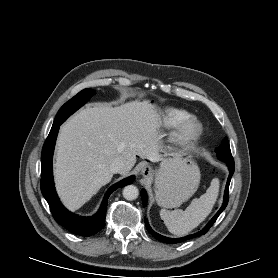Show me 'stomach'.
Returning a JSON list of instances; mask_svg holds the SVG:
<instances>
[{"instance_id": "0dacf381", "label": "stomach", "mask_w": 278, "mask_h": 278, "mask_svg": "<svg viewBox=\"0 0 278 278\" xmlns=\"http://www.w3.org/2000/svg\"><path fill=\"white\" fill-rule=\"evenodd\" d=\"M154 182L158 205L178 207L197 191L200 171L196 163L183 153H170L155 172Z\"/></svg>"}]
</instances>
